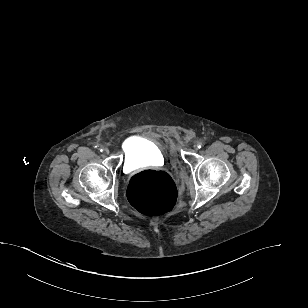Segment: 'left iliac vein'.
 Returning <instances> with one entry per match:
<instances>
[{
    "label": "left iliac vein",
    "instance_id": "1",
    "mask_svg": "<svg viewBox=\"0 0 308 308\" xmlns=\"http://www.w3.org/2000/svg\"><path fill=\"white\" fill-rule=\"evenodd\" d=\"M194 148L197 150L198 149V142L194 143Z\"/></svg>",
    "mask_w": 308,
    "mask_h": 308
}]
</instances>
